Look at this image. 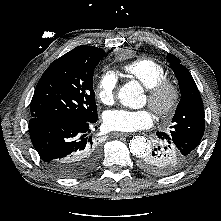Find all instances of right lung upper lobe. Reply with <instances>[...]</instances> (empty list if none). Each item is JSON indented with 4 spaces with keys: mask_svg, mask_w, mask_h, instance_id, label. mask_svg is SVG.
<instances>
[{
    "mask_svg": "<svg viewBox=\"0 0 221 221\" xmlns=\"http://www.w3.org/2000/svg\"><path fill=\"white\" fill-rule=\"evenodd\" d=\"M97 50H102L100 48L92 47V46H78L71 50L68 53H74V52H82V51H97Z\"/></svg>",
    "mask_w": 221,
    "mask_h": 221,
    "instance_id": "obj_1",
    "label": "right lung upper lobe"
}]
</instances>
